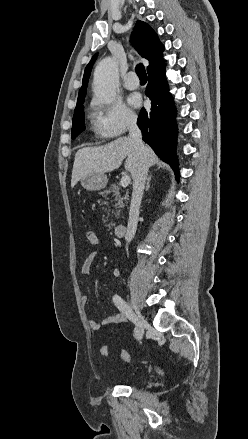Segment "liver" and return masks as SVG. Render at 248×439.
<instances>
[{"label":"liver","mask_w":248,"mask_h":439,"mask_svg":"<svg viewBox=\"0 0 248 439\" xmlns=\"http://www.w3.org/2000/svg\"><path fill=\"white\" fill-rule=\"evenodd\" d=\"M149 166L156 162L153 150L144 145ZM126 159L125 169L133 177L139 163V151L129 137H120L106 145L99 147H85L75 154L72 170L71 187L90 173H106L117 169Z\"/></svg>","instance_id":"obj_1"}]
</instances>
